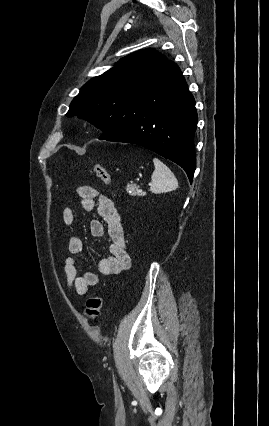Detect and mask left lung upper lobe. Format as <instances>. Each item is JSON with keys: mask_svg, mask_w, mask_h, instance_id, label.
I'll return each instance as SVG.
<instances>
[{"mask_svg": "<svg viewBox=\"0 0 269 426\" xmlns=\"http://www.w3.org/2000/svg\"><path fill=\"white\" fill-rule=\"evenodd\" d=\"M154 49H142L122 58L117 66L89 80L70 104L66 116L78 115L111 137L131 98L146 88L167 63ZM99 137V138H100Z\"/></svg>", "mask_w": 269, "mask_h": 426, "instance_id": "1", "label": "left lung upper lobe"}]
</instances>
